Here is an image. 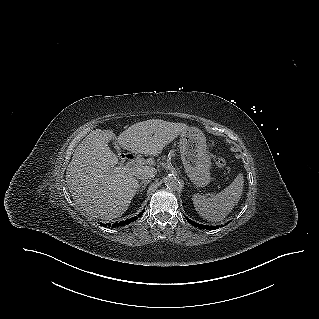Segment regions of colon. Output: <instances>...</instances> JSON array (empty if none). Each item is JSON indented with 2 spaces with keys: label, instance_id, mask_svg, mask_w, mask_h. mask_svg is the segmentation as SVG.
<instances>
[{
  "label": "colon",
  "instance_id": "1",
  "mask_svg": "<svg viewBox=\"0 0 319 319\" xmlns=\"http://www.w3.org/2000/svg\"><path fill=\"white\" fill-rule=\"evenodd\" d=\"M218 163L219 164H223V161L220 159V160H218Z\"/></svg>",
  "mask_w": 319,
  "mask_h": 319
}]
</instances>
